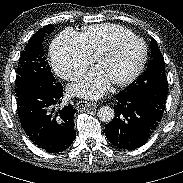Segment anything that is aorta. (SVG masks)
Here are the masks:
<instances>
[{"instance_id": "1", "label": "aorta", "mask_w": 183, "mask_h": 183, "mask_svg": "<svg viewBox=\"0 0 183 183\" xmlns=\"http://www.w3.org/2000/svg\"><path fill=\"white\" fill-rule=\"evenodd\" d=\"M98 117L103 122H110L114 118V110L109 106H102L98 110Z\"/></svg>"}]
</instances>
